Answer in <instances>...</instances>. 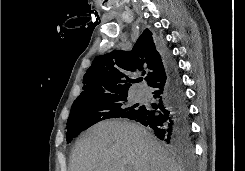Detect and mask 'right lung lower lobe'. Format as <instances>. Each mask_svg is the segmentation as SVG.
Instances as JSON below:
<instances>
[{
  "label": "right lung lower lobe",
  "mask_w": 245,
  "mask_h": 171,
  "mask_svg": "<svg viewBox=\"0 0 245 171\" xmlns=\"http://www.w3.org/2000/svg\"><path fill=\"white\" fill-rule=\"evenodd\" d=\"M166 74L150 87L156 103L143 105L132 120L153 129L155 135L173 147H188L191 138L189 111L176 61L163 43L158 44Z\"/></svg>",
  "instance_id": "right-lung-lower-lobe-1"
}]
</instances>
